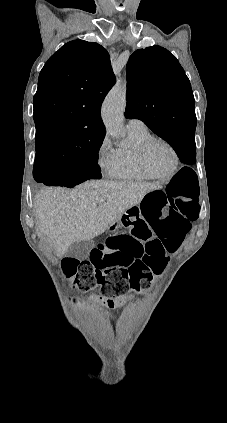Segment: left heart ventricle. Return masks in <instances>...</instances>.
Instances as JSON below:
<instances>
[{
  "label": "left heart ventricle",
  "instance_id": "obj_1",
  "mask_svg": "<svg viewBox=\"0 0 227 423\" xmlns=\"http://www.w3.org/2000/svg\"><path fill=\"white\" fill-rule=\"evenodd\" d=\"M147 164L152 172L163 175L170 171L173 157L164 145L156 143L147 153Z\"/></svg>",
  "mask_w": 227,
  "mask_h": 423
}]
</instances>
